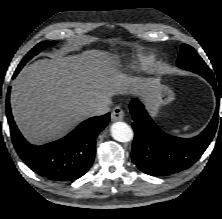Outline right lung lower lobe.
I'll use <instances>...</instances> for the list:
<instances>
[{"label":"right lung lower lobe","mask_w":222,"mask_h":219,"mask_svg":"<svg viewBox=\"0 0 222 219\" xmlns=\"http://www.w3.org/2000/svg\"><path fill=\"white\" fill-rule=\"evenodd\" d=\"M17 68L13 78L18 74ZM6 112L14 147L20 158L37 174L53 181H72L91 167L96 153V138L109 123L110 113L92 117L57 141L35 146L19 132L10 110V89Z\"/></svg>","instance_id":"obj_1"}]
</instances>
